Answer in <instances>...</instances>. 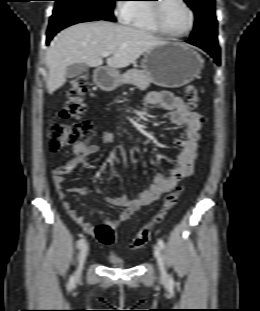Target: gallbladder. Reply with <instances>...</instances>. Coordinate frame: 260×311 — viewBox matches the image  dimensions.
Instances as JSON below:
<instances>
[{"label":"gallbladder","instance_id":"1","mask_svg":"<svg viewBox=\"0 0 260 311\" xmlns=\"http://www.w3.org/2000/svg\"><path fill=\"white\" fill-rule=\"evenodd\" d=\"M87 70L88 66L85 63H76L67 67L66 77L74 78L87 72Z\"/></svg>","mask_w":260,"mask_h":311}]
</instances>
